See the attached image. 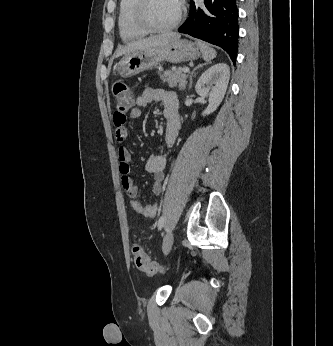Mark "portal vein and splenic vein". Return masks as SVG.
<instances>
[{
  "mask_svg": "<svg viewBox=\"0 0 333 346\" xmlns=\"http://www.w3.org/2000/svg\"><path fill=\"white\" fill-rule=\"evenodd\" d=\"M183 72H185V73L189 72V68L188 67H184L183 68Z\"/></svg>",
  "mask_w": 333,
  "mask_h": 346,
  "instance_id": "18ae733b",
  "label": "portal vein and splenic vein"
}]
</instances>
